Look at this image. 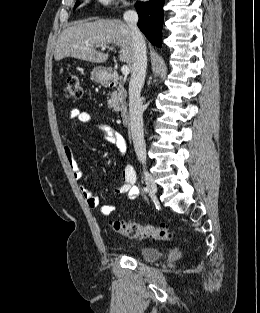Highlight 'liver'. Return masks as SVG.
<instances>
[{
	"instance_id": "6515ba94",
	"label": "liver",
	"mask_w": 260,
	"mask_h": 313,
	"mask_svg": "<svg viewBox=\"0 0 260 313\" xmlns=\"http://www.w3.org/2000/svg\"><path fill=\"white\" fill-rule=\"evenodd\" d=\"M113 44L121 49L119 60L126 62L132 71L134 49L131 30L127 23L118 19L79 22L66 28L58 38L54 58L60 61L66 57H73L103 63L109 55L97 51L96 48Z\"/></svg>"
}]
</instances>
